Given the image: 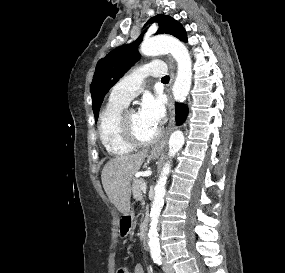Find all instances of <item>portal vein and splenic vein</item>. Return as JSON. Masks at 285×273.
Segmentation results:
<instances>
[{
    "label": "portal vein and splenic vein",
    "instance_id": "18ae733b",
    "mask_svg": "<svg viewBox=\"0 0 285 273\" xmlns=\"http://www.w3.org/2000/svg\"><path fill=\"white\" fill-rule=\"evenodd\" d=\"M146 188H147V187H146V183L144 182V183L141 185V190H142V191H145Z\"/></svg>",
    "mask_w": 285,
    "mask_h": 273
}]
</instances>
